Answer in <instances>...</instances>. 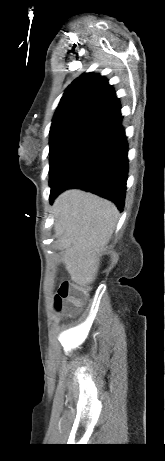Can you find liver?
Returning <instances> with one entry per match:
<instances>
[{"label":"liver","instance_id":"liver-1","mask_svg":"<svg viewBox=\"0 0 165 461\" xmlns=\"http://www.w3.org/2000/svg\"><path fill=\"white\" fill-rule=\"evenodd\" d=\"M55 238L64 250L66 270L80 285L97 276L100 257L114 232L119 211L94 194L78 189L60 194L53 204Z\"/></svg>","mask_w":165,"mask_h":461}]
</instances>
